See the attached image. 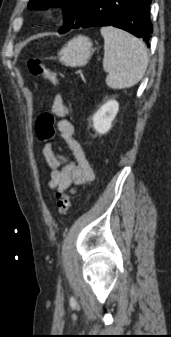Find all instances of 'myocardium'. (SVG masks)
<instances>
[{"mask_svg": "<svg viewBox=\"0 0 171 337\" xmlns=\"http://www.w3.org/2000/svg\"><path fill=\"white\" fill-rule=\"evenodd\" d=\"M56 8L54 6H48L45 10L47 15H54L56 13Z\"/></svg>", "mask_w": 171, "mask_h": 337, "instance_id": "1", "label": "myocardium"}]
</instances>
